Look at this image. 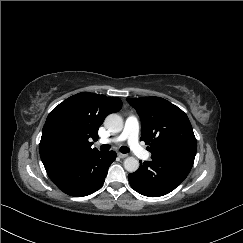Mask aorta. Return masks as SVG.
<instances>
[{"label":"aorta","mask_w":243,"mask_h":243,"mask_svg":"<svg viewBox=\"0 0 243 243\" xmlns=\"http://www.w3.org/2000/svg\"><path fill=\"white\" fill-rule=\"evenodd\" d=\"M104 126L111 133H119L123 129V119L118 114H110L105 118ZM124 168L133 173L138 170L139 161L134 157H128L124 160Z\"/></svg>","instance_id":"1"}]
</instances>
